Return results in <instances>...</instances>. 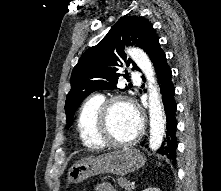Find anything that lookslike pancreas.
Listing matches in <instances>:
<instances>
[{
    "mask_svg": "<svg viewBox=\"0 0 221 191\" xmlns=\"http://www.w3.org/2000/svg\"><path fill=\"white\" fill-rule=\"evenodd\" d=\"M117 181L121 188H124L127 191H131V184L128 179L120 177L117 179Z\"/></svg>",
    "mask_w": 221,
    "mask_h": 191,
    "instance_id": "obj_1",
    "label": "pancreas"
}]
</instances>
